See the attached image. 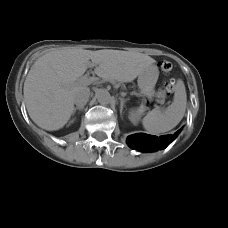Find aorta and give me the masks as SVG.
I'll return each mask as SVG.
<instances>
[{"label": "aorta", "instance_id": "aorta-1", "mask_svg": "<svg viewBox=\"0 0 228 228\" xmlns=\"http://www.w3.org/2000/svg\"><path fill=\"white\" fill-rule=\"evenodd\" d=\"M96 97H97L98 102L101 105H108L113 100L110 93L105 89L99 90L96 94Z\"/></svg>", "mask_w": 228, "mask_h": 228}]
</instances>
